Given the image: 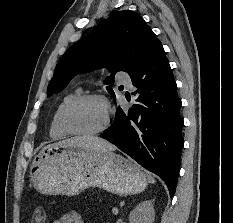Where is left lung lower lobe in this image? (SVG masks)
<instances>
[{"label": "left lung lower lobe", "instance_id": "1", "mask_svg": "<svg viewBox=\"0 0 233 223\" xmlns=\"http://www.w3.org/2000/svg\"><path fill=\"white\" fill-rule=\"evenodd\" d=\"M130 77L137 87L134 94L138 103L126 112L118 108L115 121L100 136L160 176L172 197L184 145L182 103L158 39Z\"/></svg>", "mask_w": 233, "mask_h": 223}]
</instances>
